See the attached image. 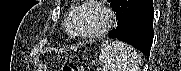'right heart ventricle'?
I'll list each match as a JSON object with an SVG mask.
<instances>
[{"mask_svg":"<svg viewBox=\"0 0 181 71\" xmlns=\"http://www.w3.org/2000/svg\"><path fill=\"white\" fill-rule=\"evenodd\" d=\"M75 10H76V7L73 8V9H71V11L69 12V15H68V17H67L66 25H65V26H66V31H67V33H68L70 36H72V35H71V32H70L69 25H70V22H71V20H72V17H73V15H74Z\"/></svg>","mask_w":181,"mask_h":71,"instance_id":"obj_1","label":"right heart ventricle"}]
</instances>
